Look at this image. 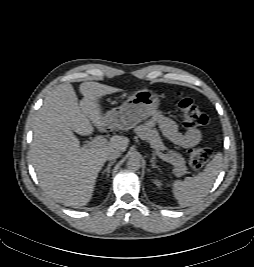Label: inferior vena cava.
Returning <instances> with one entry per match:
<instances>
[{
  "mask_svg": "<svg viewBox=\"0 0 254 267\" xmlns=\"http://www.w3.org/2000/svg\"><path fill=\"white\" fill-rule=\"evenodd\" d=\"M120 151L119 150H111L108 154H107V156H106V158H107V160H115L116 158H118L119 156H120Z\"/></svg>",
  "mask_w": 254,
  "mask_h": 267,
  "instance_id": "obj_1",
  "label": "inferior vena cava"
}]
</instances>
